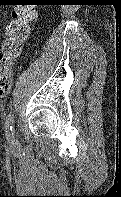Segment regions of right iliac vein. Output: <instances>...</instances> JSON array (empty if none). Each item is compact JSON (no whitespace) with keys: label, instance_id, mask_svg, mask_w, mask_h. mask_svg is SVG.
I'll return each mask as SVG.
<instances>
[{"label":"right iliac vein","instance_id":"1","mask_svg":"<svg viewBox=\"0 0 121 197\" xmlns=\"http://www.w3.org/2000/svg\"><path fill=\"white\" fill-rule=\"evenodd\" d=\"M9 143H10L11 146L16 145V141H15L14 137L9 140Z\"/></svg>","mask_w":121,"mask_h":197}]
</instances>
